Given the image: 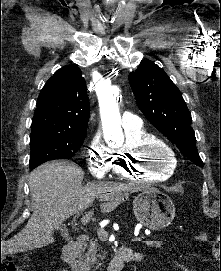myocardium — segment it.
I'll list each match as a JSON object with an SVG mask.
<instances>
[{
	"instance_id": "1",
	"label": "myocardium",
	"mask_w": 221,
	"mask_h": 271,
	"mask_svg": "<svg viewBox=\"0 0 221 271\" xmlns=\"http://www.w3.org/2000/svg\"><path fill=\"white\" fill-rule=\"evenodd\" d=\"M155 140H165L163 138H154V145H141V153H136L129 160L131 163L138 164V167H133V172H140L142 175H146L148 172L168 173V169H175V165L171 162L174 156H169L173 153L170 150V145H163V142H155ZM147 150V152L145 151Z\"/></svg>"
}]
</instances>
